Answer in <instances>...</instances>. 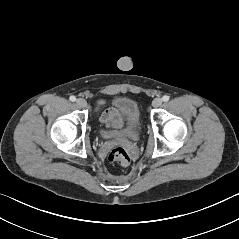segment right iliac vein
I'll list each match as a JSON object with an SVG mask.
<instances>
[{"label": "right iliac vein", "mask_w": 239, "mask_h": 239, "mask_svg": "<svg viewBox=\"0 0 239 239\" xmlns=\"http://www.w3.org/2000/svg\"><path fill=\"white\" fill-rule=\"evenodd\" d=\"M76 104H77L79 107L84 108V107H86L87 102H86V100L83 99V98H78V99L76 100Z\"/></svg>", "instance_id": "1"}]
</instances>
